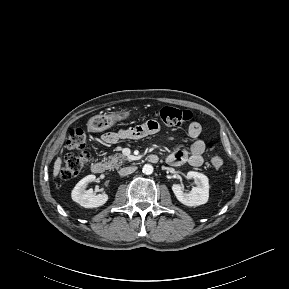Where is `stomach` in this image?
<instances>
[{"label": "stomach", "instance_id": "1", "mask_svg": "<svg viewBox=\"0 0 289 289\" xmlns=\"http://www.w3.org/2000/svg\"><path fill=\"white\" fill-rule=\"evenodd\" d=\"M129 111L122 110L111 114L96 115L89 119L87 128L91 132H102L111 128L116 122L128 118Z\"/></svg>", "mask_w": 289, "mask_h": 289}]
</instances>
